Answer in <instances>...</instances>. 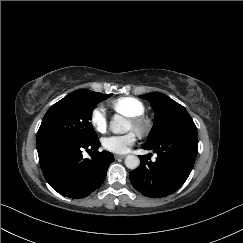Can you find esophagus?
<instances>
[{
  "label": "esophagus",
  "instance_id": "1",
  "mask_svg": "<svg viewBox=\"0 0 243 243\" xmlns=\"http://www.w3.org/2000/svg\"><path fill=\"white\" fill-rule=\"evenodd\" d=\"M114 158H115V159H123V158H125V155H118V154H115V155H114Z\"/></svg>",
  "mask_w": 243,
  "mask_h": 243
}]
</instances>
